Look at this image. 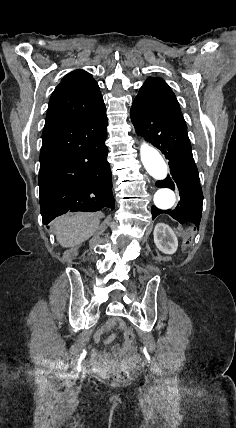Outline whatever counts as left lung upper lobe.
Instances as JSON below:
<instances>
[{
  "mask_svg": "<svg viewBox=\"0 0 236 428\" xmlns=\"http://www.w3.org/2000/svg\"><path fill=\"white\" fill-rule=\"evenodd\" d=\"M132 107L144 108L152 112L182 115L179 103L165 81L149 77L135 98Z\"/></svg>",
  "mask_w": 236,
  "mask_h": 428,
  "instance_id": "left-lung-upper-lobe-1",
  "label": "left lung upper lobe"
}]
</instances>
